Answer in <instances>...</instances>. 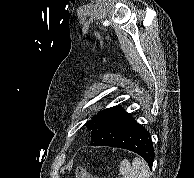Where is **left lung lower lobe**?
<instances>
[{
	"instance_id": "1",
	"label": "left lung lower lobe",
	"mask_w": 194,
	"mask_h": 178,
	"mask_svg": "<svg viewBox=\"0 0 194 178\" xmlns=\"http://www.w3.org/2000/svg\"><path fill=\"white\" fill-rule=\"evenodd\" d=\"M92 146H112L133 151L152 168L154 148L149 132L120 106L103 116L91 133Z\"/></svg>"
}]
</instances>
